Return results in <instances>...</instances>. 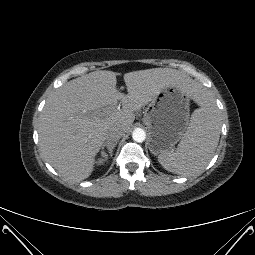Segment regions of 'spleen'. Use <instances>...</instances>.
I'll return each instance as SVG.
<instances>
[{
    "instance_id": "3e777b00",
    "label": "spleen",
    "mask_w": 255,
    "mask_h": 255,
    "mask_svg": "<svg viewBox=\"0 0 255 255\" xmlns=\"http://www.w3.org/2000/svg\"><path fill=\"white\" fill-rule=\"evenodd\" d=\"M198 102L200 107L192 113L177 149L158 156L167 171L180 175L196 173L209 164L215 153L221 130L219 110L206 93Z\"/></svg>"
}]
</instances>
